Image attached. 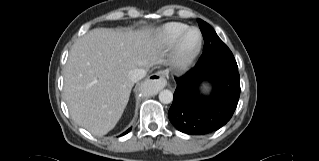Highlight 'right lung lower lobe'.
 <instances>
[{
    "label": "right lung lower lobe",
    "instance_id": "1",
    "mask_svg": "<svg viewBox=\"0 0 319 161\" xmlns=\"http://www.w3.org/2000/svg\"><path fill=\"white\" fill-rule=\"evenodd\" d=\"M131 128H129L126 132L123 133V135L127 134L128 132H130Z\"/></svg>",
    "mask_w": 319,
    "mask_h": 161
}]
</instances>
